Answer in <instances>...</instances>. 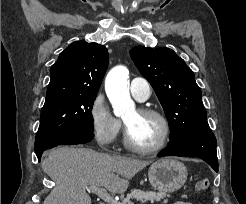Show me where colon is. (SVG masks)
Segmentation results:
<instances>
[{
	"label": "colon",
	"mask_w": 246,
	"mask_h": 204,
	"mask_svg": "<svg viewBox=\"0 0 246 204\" xmlns=\"http://www.w3.org/2000/svg\"><path fill=\"white\" fill-rule=\"evenodd\" d=\"M209 187V180L207 178H202L196 183L197 191L203 192Z\"/></svg>",
	"instance_id": "colon-1"
}]
</instances>
